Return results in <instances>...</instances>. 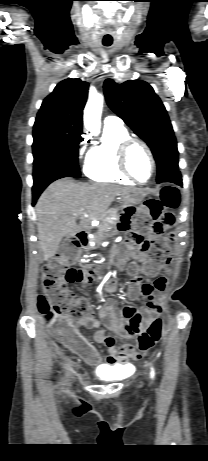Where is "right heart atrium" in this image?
<instances>
[{
	"mask_svg": "<svg viewBox=\"0 0 208 461\" xmlns=\"http://www.w3.org/2000/svg\"><path fill=\"white\" fill-rule=\"evenodd\" d=\"M86 141H87V137H83L82 144L85 143Z\"/></svg>",
	"mask_w": 208,
	"mask_h": 461,
	"instance_id": "obj_1",
	"label": "right heart atrium"
}]
</instances>
